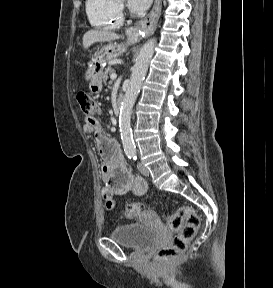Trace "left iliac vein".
I'll return each mask as SVG.
<instances>
[{
	"label": "left iliac vein",
	"mask_w": 273,
	"mask_h": 288,
	"mask_svg": "<svg viewBox=\"0 0 273 288\" xmlns=\"http://www.w3.org/2000/svg\"><path fill=\"white\" fill-rule=\"evenodd\" d=\"M138 169L140 171L141 174H143L144 176H148L149 175V170L147 167H145V165L141 162L138 163Z\"/></svg>",
	"instance_id": "4c4485c4"
}]
</instances>
